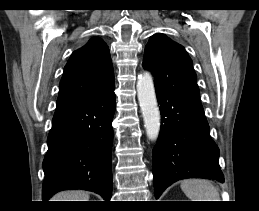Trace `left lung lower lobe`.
Listing matches in <instances>:
<instances>
[{
	"label": "left lung lower lobe",
	"instance_id": "left-lung-lower-lobe-1",
	"mask_svg": "<svg viewBox=\"0 0 259 211\" xmlns=\"http://www.w3.org/2000/svg\"><path fill=\"white\" fill-rule=\"evenodd\" d=\"M155 89L161 111V130L152 155L156 198L180 179L207 178L223 183L219 149L210 137L200 98Z\"/></svg>",
	"mask_w": 259,
	"mask_h": 211
}]
</instances>
